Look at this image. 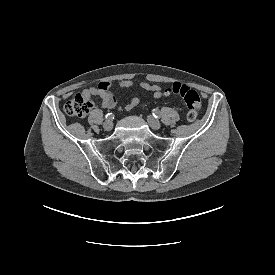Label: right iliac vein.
I'll return each instance as SVG.
<instances>
[{
  "instance_id": "63e3f726",
  "label": "right iliac vein",
  "mask_w": 275,
  "mask_h": 275,
  "mask_svg": "<svg viewBox=\"0 0 275 275\" xmlns=\"http://www.w3.org/2000/svg\"><path fill=\"white\" fill-rule=\"evenodd\" d=\"M103 128H104L106 131H111L112 128H113V122H112V121H106V122H104Z\"/></svg>"
}]
</instances>
